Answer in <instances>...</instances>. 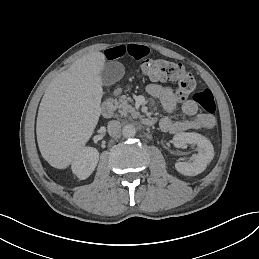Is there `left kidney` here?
<instances>
[{
    "instance_id": "1",
    "label": "left kidney",
    "mask_w": 259,
    "mask_h": 259,
    "mask_svg": "<svg viewBox=\"0 0 259 259\" xmlns=\"http://www.w3.org/2000/svg\"><path fill=\"white\" fill-rule=\"evenodd\" d=\"M173 144L176 148L184 144H196L199 152L192 163L177 162L175 168L178 172L187 176H195L202 173L214 157V148L211 142L201 134L192 132H180L174 135Z\"/></svg>"
}]
</instances>
